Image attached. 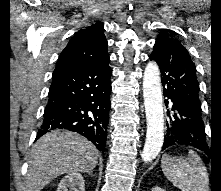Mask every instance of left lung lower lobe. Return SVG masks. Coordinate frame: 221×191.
Here are the masks:
<instances>
[{"mask_svg": "<svg viewBox=\"0 0 221 191\" xmlns=\"http://www.w3.org/2000/svg\"><path fill=\"white\" fill-rule=\"evenodd\" d=\"M160 68L165 105L171 109L162 151L185 145L207 153L196 68L186 48L171 38L157 39L150 55Z\"/></svg>", "mask_w": 221, "mask_h": 191, "instance_id": "left-lung-lower-lobe-1", "label": "left lung lower lobe"}]
</instances>
